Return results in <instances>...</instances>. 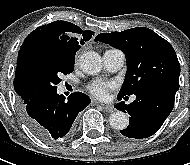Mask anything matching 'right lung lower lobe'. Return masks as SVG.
I'll use <instances>...</instances> for the list:
<instances>
[{"instance_id":"1","label":"right lung lower lobe","mask_w":190,"mask_h":165,"mask_svg":"<svg viewBox=\"0 0 190 165\" xmlns=\"http://www.w3.org/2000/svg\"><path fill=\"white\" fill-rule=\"evenodd\" d=\"M90 102V98L81 92H74L66 99L57 94V89L45 90L22 100L20 113L39 139L51 142L71 133L78 113Z\"/></svg>"}]
</instances>
